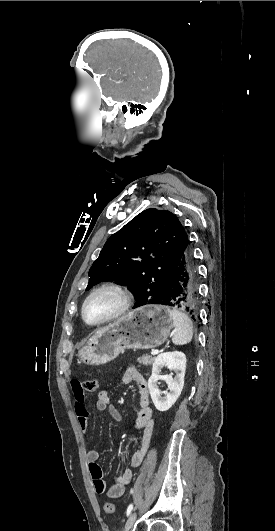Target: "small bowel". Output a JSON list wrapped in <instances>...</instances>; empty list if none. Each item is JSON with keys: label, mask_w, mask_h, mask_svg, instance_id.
Returning <instances> with one entry per match:
<instances>
[{"label": "small bowel", "mask_w": 275, "mask_h": 531, "mask_svg": "<svg viewBox=\"0 0 275 531\" xmlns=\"http://www.w3.org/2000/svg\"><path fill=\"white\" fill-rule=\"evenodd\" d=\"M69 379L71 382L69 387L71 394L75 397L80 396L83 390H78L75 385L79 382V375L75 373L71 374ZM132 381L137 383L139 392L140 408L134 427L141 434V448L130 455L129 465L131 467H137L141 465L144 460L154 430L155 420L150 404V393L147 380L135 367H129L126 369L121 376L120 384L126 386ZM96 407L99 411L108 412L110 417L115 421L121 419L119 410L110 402V394L107 390H100L98 392ZM75 410L79 419L80 428L83 432H86L91 426V420L85 407V400L80 402V404L76 403ZM99 456L100 454L97 449H91L86 453V460L89 465V472L93 480L94 489L98 494H105L108 498H118L123 495L126 487L132 480L133 472L129 467L123 469L121 475L110 486H107L103 480L101 467L98 464Z\"/></svg>", "instance_id": "small-bowel-1"}]
</instances>
